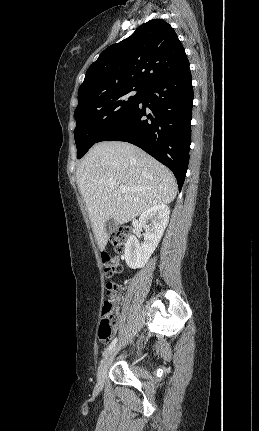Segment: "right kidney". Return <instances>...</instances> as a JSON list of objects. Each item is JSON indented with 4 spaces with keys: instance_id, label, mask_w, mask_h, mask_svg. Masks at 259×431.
<instances>
[{
    "instance_id": "ca27d5eb",
    "label": "right kidney",
    "mask_w": 259,
    "mask_h": 431,
    "mask_svg": "<svg viewBox=\"0 0 259 431\" xmlns=\"http://www.w3.org/2000/svg\"><path fill=\"white\" fill-rule=\"evenodd\" d=\"M170 209L165 204H158L144 211L139 224L144 228V242L140 245L136 236L132 235L125 244V261L132 268H142L148 262L160 242L169 222ZM150 222V225H147Z\"/></svg>"
}]
</instances>
